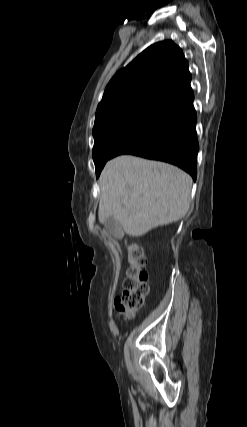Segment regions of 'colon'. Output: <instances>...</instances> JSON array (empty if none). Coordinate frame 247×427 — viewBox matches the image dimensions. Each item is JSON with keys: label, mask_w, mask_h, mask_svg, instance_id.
Returning a JSON list of instances; mask_svg holds the SVG:
<instances>
[{"label": "colon", "mask_w": 247, "mask_h": 427, "mask_svg": "<svg viewBox=\"0 0 247 427\" xmlns=\"http://www.w3.org/2000/svg\"><path fill=\"white\" fill-rule=\"evenodd\" d=\"M126 249L130 266L123 283V292L115 299V309L123 318H130L142 307L149 286L143 249L134 243L128 244Z\"/></svg>", "instance_id": "obj_1"}]
</instances>
